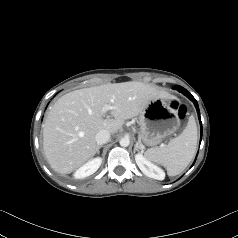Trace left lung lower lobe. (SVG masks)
<instances>
[{"instance_id": "obj_1", "label": "left lung lower lobe", "mask_w": 238, "mask_h": 238, "mask_svg": "<svg viewBox=\"0 0 238 238\" xmlns=\"http://www.w3.org/2000/svg\"><path fill=\"white\" fill-rule=\"evenodd\" d=\"M173 89L178 90L179 92L183 93L185 96H187L191 101L194 102L195 107L197 109V113L199 115V119H200V123H201V118H200V111H199V106L198 103L196 101V99L183 87L176 85L173 87ZM201 132H202V123H201Z\"/></svg>"}]
</instances>
